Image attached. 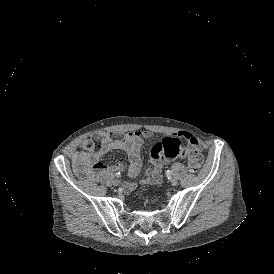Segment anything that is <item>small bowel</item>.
<instances>
[{
  "instance_id": "1",
  "label": "small bowel",
  "mask_w": 274,
  "mask_h": 274,
  "mask_svg": "<svg viewBox=\"0 0 274 274\" xmlns=\"http://www.w3.org/2000/svg\"><path fill=\"white\" fill-rule=\"evenodd\" d=\"M152 136L153 133L149 130H134L116 140L107 139L99 153L77 151L72 156L74 170L77 174L85 176L89 180L93 179L96 175L108 170V167L100 161L101 156L113 150H121L128 154L127 172L130 178H134L142 170L141 148L143 140L150 139ZM178 136L180 138L173 135L167 138L160 133L154 137V143L149 153L151 169L141 179L142 184H159L162 180L161 171L163 167L174 162L183 153L187 148V141L190 144V151L197 150L201 153L200 142L195 136L184 131L178 132ZM165 146L168 148L166 151ZM124 165V160L120 159L111 169L120 170ZM135 188L136 183L133 181L125 184V190L127 191H132Z\"/></svg>"
}]
</instances>
